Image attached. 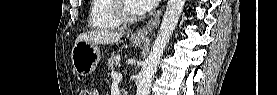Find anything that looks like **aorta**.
Instances as JSON below:
<instances>
[{
	"instance_id": "762f6f07",
	"label": "aorta",
	"mask_w": 277,
	"mask_h": 95,
	"mask_svg": "<svg viewBox=\"0 0 277 95\" xmlns=\"http://www.w3.org/2000/svg\"><path fill=\"white\" fill-rule=\"evenodd\" d=\"M184 4L185 0H168L159 32L139 74L136 95L150 94L153 77L170 37L178 24Z\"/></svg>"
}]
</instances>
